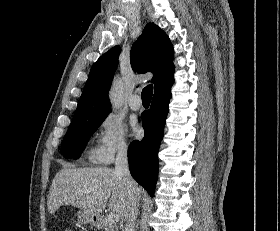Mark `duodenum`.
<instances>
[{
    "label": "duodenum",
    "instance_id": "duodenum-1",
    "mask_svg": "<svg viewBox=\"0 0 280 231\" xmlns=\"http://www.w3.org/2000/svg\"><path fill=\"white\" fill-rule=\"evenodd\" d=\"M99 221H100V222H102V221H103V219H99Z\"/></svg>",
    "mask_w": 280,
    "mask_h": 231
}]
</instances>
